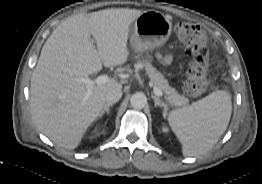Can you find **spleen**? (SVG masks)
<instances>
[{
	"instance_id": "1",
	"label": "spleen",
	"mask_w": 262,
	"mask_h": 184,
	"mask_svg": "<svg viewBox=\"0 0 262 184\" xmlns=\"http://www.w3.org/2000/svg\"><path fill=\"white\" fill-rule=\"evenodd\" d=\"M231 95L217 90L181 109L170 111L167 120L182 144L185 157L198 156L213 148L231 117Z\"/></svg>"
}]
</instances>
